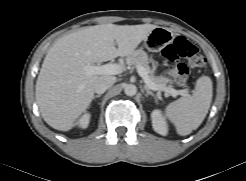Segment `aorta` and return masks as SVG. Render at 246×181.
Here are the masks:
<instances>
[{
  "instance_id": "obj_1",
  "label": "aorta",
  "mask_w": 246,
  "mask_h": 181,
  "mask_svg": "<svg viewBox=\"0 0 246 181\" xmlns=\"http://www.w3.org/2000/svg\"><path fill=\"white\" fill-rule=\"evenodd\" d=\"M124 93L127 96H134L137 93V88L135 85L133 84H126L124 86Z\"/></svg>"
}]
</instances>
